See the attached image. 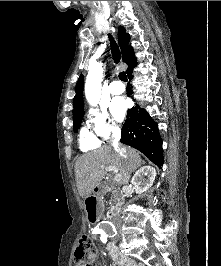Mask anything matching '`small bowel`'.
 Masks as SVG:
<instances>
[{
    "instance_id": "small-bowel-1",
    "label": "small bowel",
    "mask_w": 221,
    "mask_h": 266,
    "mask_svg": "<svg viewBox=\"0 0 221 266\" xmlns=\"http://www.w3.org/2000/svg\"><path fill=\"white\" fill-rule=\"evenodd\" d=\"M108 256L118 266H145V264H143L142 262H136L133 259L119 253L117 250H109Z\"/></svg>"
}]
</instances>
